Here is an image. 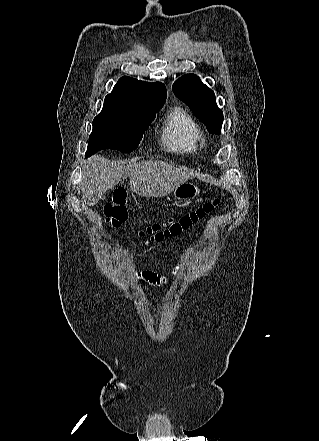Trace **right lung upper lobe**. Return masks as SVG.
Masks as SVG:
<instances>
[{
  "instance_id": "obj_1",
  "label": "right lung upper lobe",
  "mask_w": 319,
  "mask_h": 441,
  "mask_svg": "<svg viewBox=\"0 0 319 441\" xmlns=\"http://www.w3.org/2000/svg\"><path fill=\"white\" fill-rule=\"evenodd\" d=\"M165 101L164 84L123 76L105 97L103 109L154 108L163 106Z\"/></svg>"
}]
</instances>
